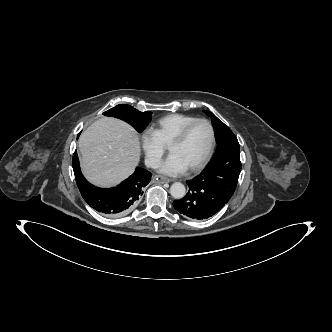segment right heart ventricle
I'll return each mask as SVG.
<instances>
[{
  "label": "right heart ventricle",
  "mask_w": 332,
  "mask_h": 332,
  "mask_svg": "<svg viewBox=\"0 0 332 332\" xmlns=\"http://www.w3.org/2000/svg\"><path fill=\"white\" fill-rule=\"evenodd\" d=\"M197 117L185 114H168L158 119L151 130L163 145H169L177 133Z\"/></svg>",
  "instance_id": "obj_1"
}]
</instances>
